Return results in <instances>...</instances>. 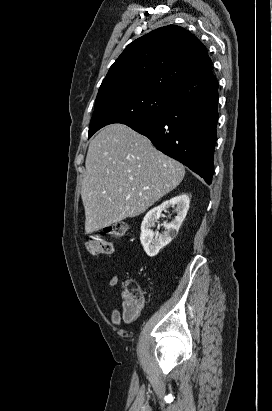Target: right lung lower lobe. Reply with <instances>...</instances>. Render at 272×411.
<instances>
[{"instance_id": "obj_1", "label": "right lung lower lobe", "mask_w": 272, "mask_h": 411, "mask_svg": "<svg viewBox=\"0 0 272 411\" xmlns=\"http://www.w3.org/2000/svg\"><path fill=\"white\" fill-rule=\"evenodd\" d=\"M217 107L218 88L128 126L148 137L158 150L183 163L210 184L217 137Z\"/></svg>"}]
</instances>
